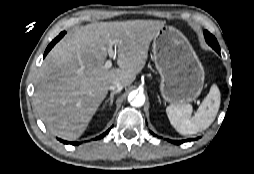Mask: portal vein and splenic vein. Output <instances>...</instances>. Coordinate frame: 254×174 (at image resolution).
I'll return each instance as SVG.
<instances>
[{"label": "portal vein and splenic vein", "instance_id": "18ae733b", "mask_svg": "<svg viewBox=\"0 0 254 174\" xmlns=\"http://www.w3.org/2000/svg\"><path fill=\"white\" fill-rule=\"evenodd\" d=\"M117 41L110 42L107 52L109 55V59L105 62L104 66L106 69H110L112 67V58H115V52L113 51V45L116 44Z\"/></svg>", "mask_w": 254, "mask_h": 174}]
</instances>
